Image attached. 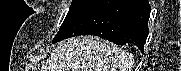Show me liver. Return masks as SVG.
I'll use <instances>...</instances> for the list:
<instances>
[{"label": "liver", "mask_w": 181, "mask_h": 71, "mask_svg": "<svg viewBox=\"0 0 181 71\" xmlns=\"http://www.w3.org/2000/svg\"><path fill=\"white\" fill-rule=\"evenodd\" d=\"M132 56L96 37L81 36L59 43L45 71H131Z\"/></svg>", "instance_id": "1"}]
</instances>
